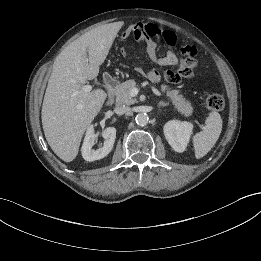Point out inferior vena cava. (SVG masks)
I'll return each mask as SVG.
<instances>
[{
    "label": "inferior vena cava",
    "mask_w": 261,
    "mask_h": 261,
    "mask_svg": "<svg viewBox=\"0 0 261 261\" xmlns=\"http://www.w3.org/2000/svg\"><path fill=\"white\" fill-rule=\"evenodd\" d=\"M131 108L128 106H118L115 108V113L123 115L130 113Z\"/></svg>",
    "instance_id": "obj_1"
}]
</instances>
